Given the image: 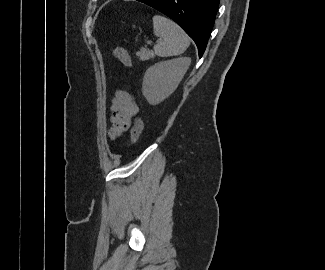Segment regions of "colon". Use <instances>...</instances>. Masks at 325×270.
Listing matches in <instances>:
<instances>
[{"instance_id": "1", "label": "colon", "mask_w": 325, "mask_h": 270, "mask_svg": "<svg viewBox=\"0 0 325 270\" xmlns=\"http://www.w3.org/2000/svg\"><path fill=\"white\" fill-rule=\"evenodd\" d=\"M113 55L124 66H126V67L132 66L131 57L124 48L119 47V46L114 48ZM142 130H143V121L141 118H137L134 123V126L132 127V130H131V136H130L131 144H134L138 141V139L140 138V135L142 133Z\"/></svg>"}]
</instances>
